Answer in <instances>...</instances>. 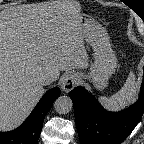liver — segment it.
<instances>
[{"mask_svg": "<svg viewBox=\"0 0 144 144\" xmlns=\"http://www.w3.org/2000/svg\"><path fill=\"white\" fill-rule=\"evenodd\" d=\"M80 11L58 0L0 12V131L27 118L44 94L43 75L87 67Z\"/></svg>", "mask_w": 144, "mask_h": 144, "instance_id": "obj_1", "label": "liver"}]
</instances>
